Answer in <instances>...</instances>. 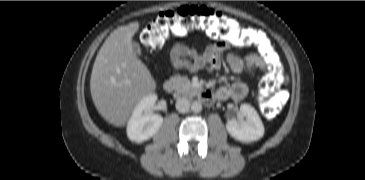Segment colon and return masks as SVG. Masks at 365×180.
Segmentation results:
<instances>
[{
  "label": "colon",
  "instance_id": "5ec220e1",
  "mask_svg": "<svg viewBox=\"0 0 365 180\" xmlns=\"http://www.w3.org/2000/svg\"><path fill=\"white\" fill-rule=\"evenodd\" d=\"M195 29H201L209 37L234 47L261 43L253 37L249 29L234 26L218 11L202 6H183L159 13L142 31L141 40L151 48H159L167 39L184 36ZM263 56L271 67L261 81L260 96L267 99L265 113L276 115L282 107V99L278 92L284 76L278 62L273 58L272 51L263 47Z\"/></svg>",
  "mask_w": 365,
  "mask_h": 180
}]
</instances>
